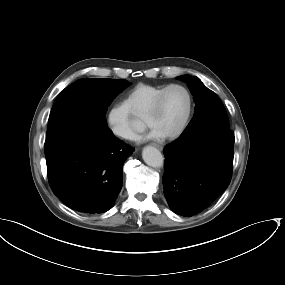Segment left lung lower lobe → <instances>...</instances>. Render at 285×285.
Here are the masks:
<instances>
[{
    "label": "left lung lower lobe",
    "mask_w": 285,
    "mask_h": 285,
    "mask_svg": "<svg viewBox=\"0 0 285 285\" xmlns=\"http://www.w3.org/2000/svg\"><path fill=\"white\" fill-rule=\"evenodd\" d=\"M234 133L203 127L181 135L164 149V195L178 215L207 208L228 187L233 167Z\"/></svg>",
    "instance_id": "0a47b994"
}]
</instances>
